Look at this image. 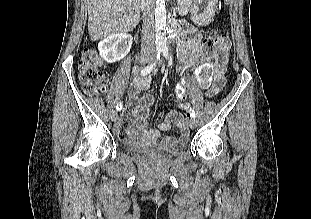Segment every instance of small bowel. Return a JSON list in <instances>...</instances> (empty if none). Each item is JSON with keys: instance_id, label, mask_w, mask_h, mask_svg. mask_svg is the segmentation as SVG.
Returning a JSON list of instances; mask_svg holds the SVG:
<instances>
[{"instance_id": "obj_1", "label": "small bowel", "mask_w": 311, "mask_h": 219, "mask_svg": "<svg viewBox=\"0 0 311 219\" xmlns=\"http://www.w3.org/2000/svg\"><path fill=\"white\" fill-rule=\"evenodd\" d=\"M184 11V9H182ZM179 61L184 69L185 65H194L199 59V39L197 36H191L190 31L183 30L180 35ZM151 84L150 76H137L133 83L128 88V110L120 121L121 135L123 139L141 134L146 140H156L161 137L162 132L177 128L181 131V135L176 141L184 142L188 138L186 124L184 122L183 113L180 111H170L159 118L157 127H152L148 124L149 108L154 105L155 97L152 94H146L140 97V92L147 89ZM224 85V77L220 74H215L211 83L207 86V96H216ZM177 95L183 97L185 89L181 85L176 87Z\"/></svg>"}]
</instances>
